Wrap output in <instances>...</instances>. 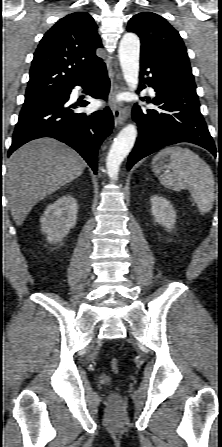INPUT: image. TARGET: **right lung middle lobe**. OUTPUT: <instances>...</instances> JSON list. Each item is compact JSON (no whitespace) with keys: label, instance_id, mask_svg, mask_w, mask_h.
I'll list each match as a JSON object with an SVG mask.
<instances>
[{"label":"right lung middle lobe","instance_id":"right-lung-middle-lobe-1","mask_svg":"<svg viewBox=\"0 0 222 447\" xmlns=\"http://www.w3.org/2000/svg\"><path fill=\"white\" fill-rule=\"evenodd\" d=\"M62 94L63 93L44 95V96L25 97V101H24L23 108L21 111L32 110L34 108L48 104L52 101L57 100Z\"/></svg>","mask_w":222,"mask_h":447}]
</instances>
